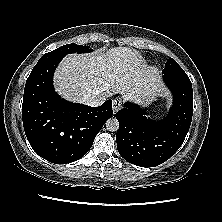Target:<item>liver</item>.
<instances>
[{
  "instance_id": "obj_1",
  "label": "liver",
  "mask_w": 222,
  "mask_h": 222,
  "mask_svg": "<svg viewBox=\"0 0 222 222\" xmlns=\"http://www.w3.org/2000/svg\"><path fill=\"white\" fill-rule=\"evenodd\" d=\"M158 70L147 67L142 56L128 47L94 54L67 55L58 66L55 90L65 99L82 102L85 94L112 92L135 101H146L159 88Z\"/></svg>"
}]
</instances>
